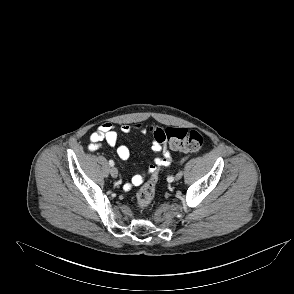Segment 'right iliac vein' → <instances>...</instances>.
Instances as JSON below:
<instances>
[{
    "label": "right iliac vein",
    "mask_w": 294,
    "mask_h": 294,
    "mask_svg": "<svg viewBox=\"0 0 294 294\" xmlns=\"http://www.w3.org/2000/svg\"><path fill=\"white\" fill-rule=\"evenodd\" d=\"M110 174H111V176L113 178H117V176H118V170H117V168H111L110 169Z\"/></svg>",
    "instance_id": "right-iliac-vein-1"
}]
</instances>
